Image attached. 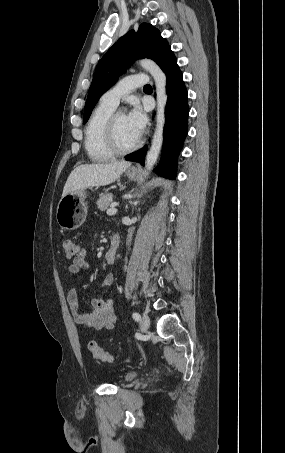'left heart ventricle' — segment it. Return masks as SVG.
<instances>
[{
    "label": "left heart ventricle",
    "instance_id": "b2bd125f",
    "mask_svg": "<svg viewBox=\"0 0 285 453\" xmlns=\"http://www.w3.org/2000/svg\"><path fill=\"white\" fill-rule=\"evenodd\" d=\"M116 135L120 146L129 147L137 142L140 135L130 124L126 114H121L116 122Z\"/></svg>",
    "mask_w": 285,
    "mask_h": 453
}]
</instances>
